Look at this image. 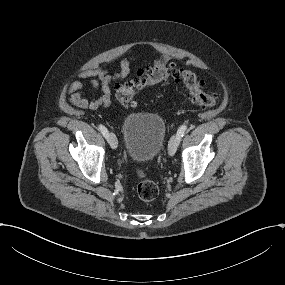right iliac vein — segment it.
Instances as JSON below:
<instances>
[{
  "instance_id": "63e3f726",
  "label": "right iliac vein",
  "mask_w": 285,
  "mask_h": 285,
  "mask_svg": "<svg viewBox=\"0 0 285 285\" xmlns=\"http://www.w3.org/2000/svg\"><path fill=\"white\" fill-rule=\"evenodd\" d=\"M107 140H108V143L110 144V146L113 148V149H116L117 146H118V140L115 136L114 133L110 132L108 133V137H107Z\"/></svg>"
}]
</instances>
